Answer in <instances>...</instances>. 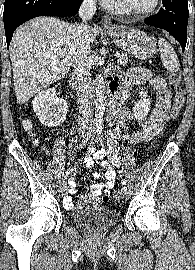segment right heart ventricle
Segmentation results:
<instances>
[{
  "label": "right heart ventricle",
  "instance_id": "obj_1",
  "mask_svg": "<svg viewBox=\"0 0 195 270\" xmlns=\"http://www.w3.org/2000/svg\"><path fill=\"white\" fill-rule=\"evenodd\" d=\"M105 5L110 11L114 13L126 14V12L122 10L118 0H107Z\"/></svg>",
  "mask_w": 195,
  "mask_h": 270
}]
</instances>
